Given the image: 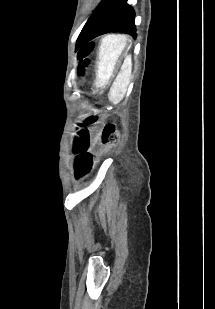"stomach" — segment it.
<instances>
[{"label": "stomach", "mask_w": 215, "mask_h": 309, "mask_svg": "<svg viewBox=\"0 0 215 309\" xmlns=\"http://www.w3.org/2000/svg\"><path fill=\"white\" fill-rule=\"evenodd\" d=\"M127 44L128 37L121 34H111L101 39L96 66V87L102 88L109 83L126 55Z\"/></svg>", "instance_id": "obj_1"}]
</instances>
